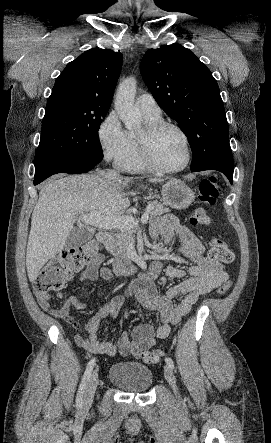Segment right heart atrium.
Instances as JSON below:
<instances>
[{"label": "right heart atrium", "instance_id": "obj_1", "mask_svg": "<svg viewBox=\"0 0 271 443\" xmlns=\"http://www.w3.org/2000/svg\"><path fill=\"white\" fill-rule=\"evenodd\" d=\"M97 140L104 156L121 166L129 153V141L114 110L100 121Z\"/></svg>", "mask_w": 271, "mask_h": 443}]
</instances>
